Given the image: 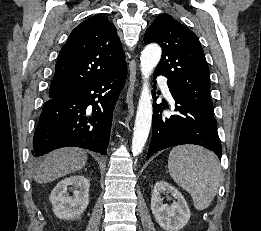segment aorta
I'll return each mask as SVG.
<instances>
[{
  "label": "aorta",
  "mask_w": 261,
  "mask_h": 231,
  "mask_svg": "<svg viewBox=\"0 0 261 231\" xmlns=\"http://www.w3.org/2000/svg\"><path fill=\"white\" fill-rule=\"evenodd\" d=\"M161 48L157 44L145 47L140 57V67L143 76V87L138 102L133 139L132 154L138 156L147 141L152 122V95L149 89L148 79L161 58Z\"/></svg>",
  "instance_id": "1"
}]
</instances>
